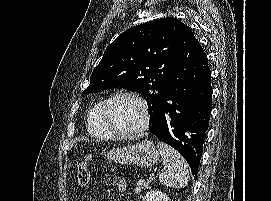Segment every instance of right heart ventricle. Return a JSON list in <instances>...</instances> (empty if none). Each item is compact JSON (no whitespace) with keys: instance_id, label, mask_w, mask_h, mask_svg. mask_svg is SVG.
<instances>
[{"instance_id":"1","label":"right heart ventricle","mask_w":271,"mask_h":201,"mask_svg":"<svg viewBox=\"0 0 271 201\" xmlns=\"http://www.w3.org/2000/svg\"><path fill=\"white\" fill-rule=\"evenodd\" d=\"M105 99L96 102L88 111L86 119L87 131L96 138L109 139L115 135L107 129L102 119V107Z\"/></svg>"}]
</instances>
